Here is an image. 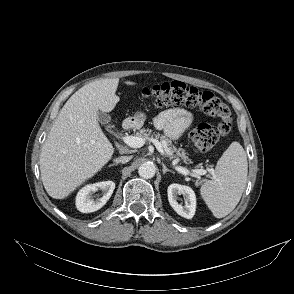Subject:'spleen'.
I'll return each mask as SVG.
<instances>
[{
	"label": "spleen",
	"instance_id": "3e777b00",
	"mask_svg": "<svg viewBox=\"0 0 294 294\" xmlns=\"http://www.w3.org/2000/svg\"><path fill=\"white\" fill-rule=\"evenodd\" d=\"M248 163L246 152L238 142H232L218 160L215 175L206 181L200 193L216 218L234 210L246 186Z\"/></svg>",
	"mask_w": 294,
	"mask_h": 294
}]
</instances>
